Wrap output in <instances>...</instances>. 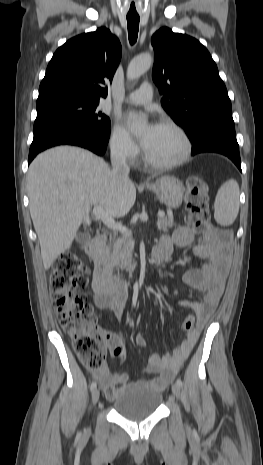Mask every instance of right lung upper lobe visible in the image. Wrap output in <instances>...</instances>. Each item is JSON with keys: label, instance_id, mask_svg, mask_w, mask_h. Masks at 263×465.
I'll use <instances>...</instances> for the list:
<instances>
[{"label": "right lung upper lobe", "instance_id": "right-lung-upper-lobe-1", "mask_svg": "<svg viewBox=\"0 0 263 465\" xmlns=\"http://www.w3.org/2000/svg\"><path fill=\"white\" fill-rule=\"evenodd\" d=\"M121 53L120 41L105 27L68 40L49 62L37 101L60 96L105 98L104 84L112 82Z\"/></svg>", "mask_w": 263, "mask_h": 465}]
</instances>
